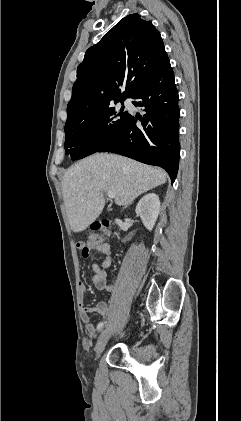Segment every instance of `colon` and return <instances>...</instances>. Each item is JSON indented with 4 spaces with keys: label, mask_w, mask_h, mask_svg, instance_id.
I'll use <instances>...</instances> for the list:
<instances>
[{
    "label": "colon",
    "mask_w": 241,
    "mask_h": 421,
    "mask_svg": "<svg viewBox=\"0 0 241 421\" xmlns=\"http://www.w3.org/2000/svg\"><path fill=\"white\" fill-rule=\"evenodd\" d=\"M108 228L109 223L107 221L94 224L92 230L95 234L90 237L89 241H82L77 244V248L84 258L89 257L92 249L103 242L105 236L108 234Z\"/></svg>",
    "instance_id": "obj_1"
}]
</instances>
